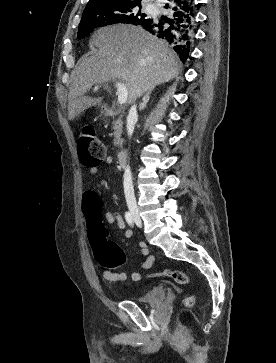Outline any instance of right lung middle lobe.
<instances>
[{
  "instance_id": "dd1d6c3e",
  "label": "right lung middle lobe",
  "mask_w": 276,
  "mask_h": 363,
  "mask_svg": "<svg viewBox=\"0 0 276 363\" xmlns=\"http://www.w3.org/2000/svg\"><path fill=\"white\" fill-rule=\"evenodd\" d=\"M140 9L141 3L118 0L90 5L83 12L78 38L86 37L97 27L115 23L140 25L146 17Z\"/></svg>"
}]
</instances>
